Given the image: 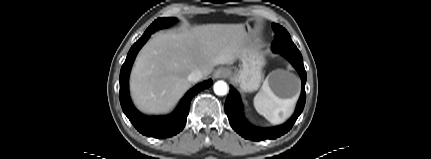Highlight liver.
<instances>
[{
    "mask_svg": "<svg viewBox=\"0 0 431 159\" xmlns=\"http://www.w3.org/2000/svg\"><path fill=\"white\" fill-rule=\"evenodd\" d=\"M244 24H207L156 33L139 52L130 77L137 108L148 114L169 112L191 87L188 76L207 77L216 65L233 64L247 47Z\"/></svg>",
    "mask_w": 431,
    "mask_h": 159,
    "instance_id": "6515ba94",
    "label": "liver"
}]
</instances>
